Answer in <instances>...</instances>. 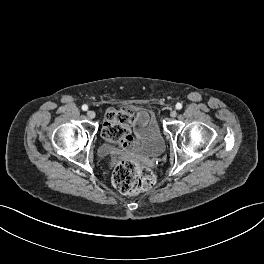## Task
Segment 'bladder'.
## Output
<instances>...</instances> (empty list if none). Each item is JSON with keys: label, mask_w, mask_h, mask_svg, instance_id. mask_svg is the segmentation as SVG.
Instances as JSON below:
<instances>
[{"label": "bladder", "mask_w": 264, "mask_h": 264, "mask_svg": "<svg viewBox=\"0 0 264 264\" xmlns=\"http://www.w3.org/2000/svg\"><path fill=\"white\" fill-rule=\"evenodd\" d=\"M165 150V142L157 121L154 116H151L149 132L142 140L140 145L137 146L136 152L144 157H157ZM102 155L107 156L113 152V146L104 143L100 147Z\"/></svg>", "instance_id": "obj_1"}]
</instances>
